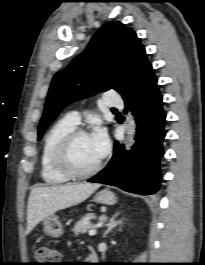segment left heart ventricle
<instances>
[{
	"label": "left heart ventricle",
	"mask_w": 205,
	"mask_h": 265,
	"mask_svg": "<svg viewBox=\"0 0 205 265\" xmlns=\"http://www.w3.org/2000/svg\"><path fill=\"white\" fill-rule=\"evenodd\" d=\"M99 160L90 135L79 137L72 145L70 162L77 171H87Z\"/></svg>",
	"instance_id": "left-heart-ventricle-1"
}]
</instances>
